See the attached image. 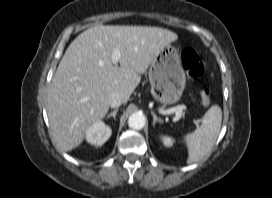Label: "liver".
<instances>
[{
    "instance_id": "6515ba94",
    "label": "liver",
    "mask_w": 272,
    "mask_h": 198,
    "mask_svg": "<svg viewBox=\"0 0 272 198\" xmlns=\"http://www.w3.org/2000/svg\"><path fill=\"white\" fill-rule=\"evenodd\" d=\"M178 39L160 27L96 25L68 46L47 95L53 138L64 151L79 146L86 131L109 110V96L120 93L126 103L153 58ZM118 50L120 66L112 62Z\"/></svg>"
}]
</instances>
